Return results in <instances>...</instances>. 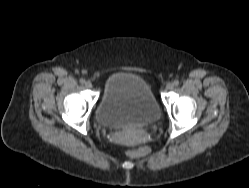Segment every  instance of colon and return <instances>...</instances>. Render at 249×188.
Here are the masks:
<instances>
[{
	"mask_svg": "<svg viewBox=\"0 0 249 188\" xmlns=\"http://www.w3.org/2000/svg\"><path fill=\"white\" fill-rule=\"evenodd\" d=\"M131 143H132V144L135 143V140H131Z\"/></svg>",
	"mask_w": 249,
	"mask_h": 188,
	"instance_id": "1",
	"label": "colon"
}]
</instances>
